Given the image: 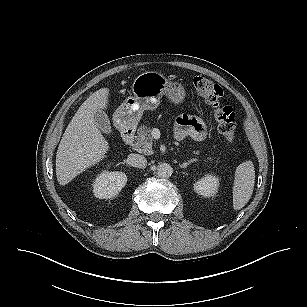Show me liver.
Wrapping results in <instances>:
<instances>
[{"mask_svg": "<svg viewBox=\"0 0 307 307\" xmlns=\"http://www.w3.org/2000/svg\"><path fill=\"white\" fill-rule=\"evenodd\" d=\"M108 96V88L91 94L67 126L56 155V176L60 185L68 184L105 158L109 144L94 121V113L107 108Z\"/></svg>", "mask_w": 307, "mask_h": 307, "instance_id": "1", "label": "liver"}]
</instances>
